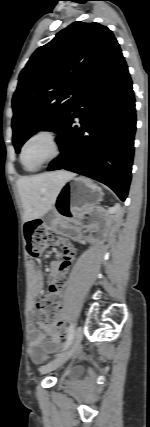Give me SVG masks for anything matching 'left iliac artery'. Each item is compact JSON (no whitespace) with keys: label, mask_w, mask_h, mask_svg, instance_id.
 Instances as JSON below:
<instances>
[{"label":"left iliac artery","mask_w":150,"mask_h":427,"mask_svg":"<svg viewBox=\"0 0 150 427\" xmlns=\"http://www.w3.org/2000/svg\"><path fill=\"white\" fill-rule=\"evenodd\" d=\"M74 325L71 324L68 328V335H67V340L64 343V347L63 350H65L66 348H68V346L72 343L73 338H74Z\"/></svg>","instance_id":"1"}]
</instances>
